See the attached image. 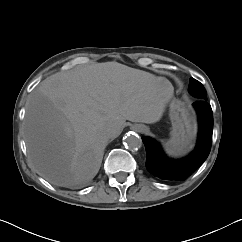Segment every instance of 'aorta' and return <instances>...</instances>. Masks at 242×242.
<instances>
[{"instance_id": "762f6f07", "label": "aorta", "mask_w": 242, "mask_h": 242, "mask_svg": "<svg viewBox=\"0 0 242 242\" xmlns=\"http://www.w3.org/2000/svg\"><path fill=\"white\" fill-rule=\"evenodd\" d=\"M124 144L126 147L130 148V149H136L141 147L142 145V140L141 138L135 134V133H128L125 137H124Z\"/></svg>"}]
</instances>
